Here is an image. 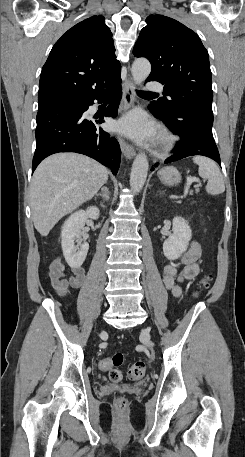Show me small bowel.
Masks as SVG:
<instances>
[{
	"instance_id": "small-bowel-1",
	"label": "small bowel",
	"mask_w": 245,
	"mask_h": 457,
	"mask_svg": "<svg viewBox=\"0 0 245 457\" xmlns=\"http://www.w3.org/2000/svg\"><path fill=\"white\" fill-rule=\"evenodd\" d=\"M200 256V245L196 241H193L181 259V268H177L174 265H167L163 268V284L174 296L181 295V282L193 279L198 275L199 267L197 261ZM47 276L52 288L59 295L64 296L70 289L81 287L85 272L80 266H67L62 262L61 258H56L50 263Z\"/></svg>"
}]
</instances>
